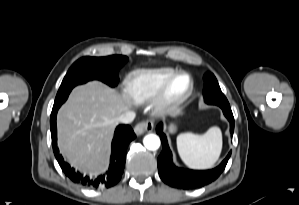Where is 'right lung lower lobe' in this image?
Wrapping results in <instances>:
<instances>
[{
    "mask_svg": "<svg viewBox=\"0 0 299 205\" xmlns=\"http://www.w3.org/2000/svg\"><path fill=\"white\" fill-rule=\"evenodd\" d=\"M61 104L53 106L50 128L52 136V146L54 155L62 168L63 172L75 183H80L88 188H109L114 186L121 178L128 144L133 140L136 135L129 125H119L115 130V135L112 141V153L110 158V166L105 174L97 176L95 178L82 177L80 173H76L73 168L66 162H64L59 150L57 148V128H56V115Z\"/></svg>",
    "mask_w": 299,
    "mask_h": 205,
    "instance_id": "1",
    "label": "right lung lower lobe"
}]
</instances>
